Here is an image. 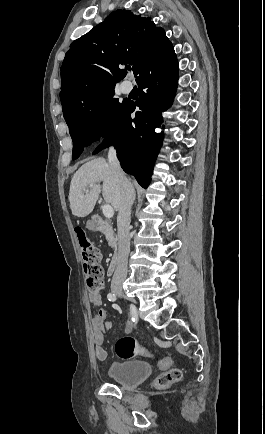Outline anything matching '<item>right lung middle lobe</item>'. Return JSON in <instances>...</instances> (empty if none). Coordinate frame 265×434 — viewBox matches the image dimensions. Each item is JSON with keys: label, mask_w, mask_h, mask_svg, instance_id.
I'll list each match as a JSON object with an SVG mask.
<instances>
[{"label": "right lung middle lobe", "mask_w": 265, "mask_h": 434, "mask_svg": "<svg viewBox=\"0 0 265 434\" xmlns=\"http://www.w3.org/2000/svg\"><path fill=\"white\" fill-rule=\"evenodd\" d=\"M115 84L109 83L61 102L73 140L72 159L78 158L84 147L109 135L124 119L131 101L119 102L114 97Z\"/></svg>", "instance_id": "obj_1"}]
</instances>
